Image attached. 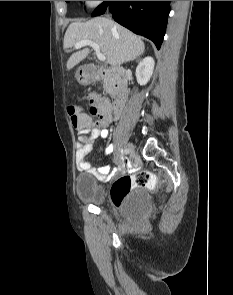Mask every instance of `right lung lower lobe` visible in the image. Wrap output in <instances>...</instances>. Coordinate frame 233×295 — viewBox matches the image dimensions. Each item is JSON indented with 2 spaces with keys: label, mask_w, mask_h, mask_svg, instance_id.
I'll list each match as a JSON object with an SVG mask.
<instances>
[{
  "label": "right lung lower lobe",
  "mask_w": 233,
  "mask_h": 295,
  "mask_svg": "<svg viewBox=\"0 0 233 295\" xmlns=\"http://www.w3.org/2000/svg\"><path fill=\"white\" fill-rule=\"evenodd\" d=\"M110 4L113 18L136 34L152 40L160 48L165 34L170 1H104L92 16L105 13Z\"/></svg>",
  "instance_id": "obj_1"
}]
</instances>
